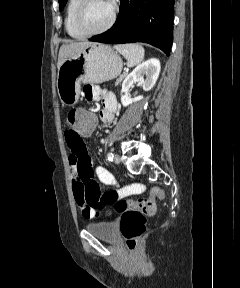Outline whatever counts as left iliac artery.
<instances>
[{
	"instance_id": "left-iliac-artery-1",
	"label": "left iliac artery",
	"mask_w": 240,
	"mask_h": 288,
	"mask_svg": "<svg viewBox=\"0 0 240 288\" xmlns=\"http://www.w3.org/2000/svg\"><path fill=\"white\" fill-rule=\"evenodd\" d=\"M107 158H108L109 161H113L114 154H113L112 152H109V153L107 154Z\"/></svg>"
}]
</instances>
